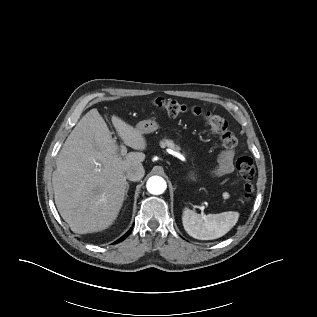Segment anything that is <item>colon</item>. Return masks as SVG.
<instances>
[{"label": "colon", "instance_id": "1", "mask_svg": "<svg viewBox=\"0 0 317 317\" xmlns=\"http://www.w3.org/2000/svg\"><path fill=\"white\" fill-rule=\"evenodd\" d=\"M157 109L164 111L169 116L176 117L187 111V107L174 100L158 98L154 101ZM192 113L196 116L202 117L210 130L218 134L221 144L225 149H232L237 144V137L229 130L227 121L216 114L202 110L199 107L191 109ZM236 169L244 180V199L249 200L254 190L253 179L255 175V166L253 160L249 157H240L236 161Z\"/></svg>", "mask_w": 317, "mask_h": 317}]
</instances>
